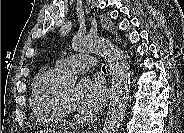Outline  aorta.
Masks as SVG:
<instances>
[{
  "instance_id": "762f6f07",
  "label": "aorta",
  "mask_w": 184,
  "mask_h": 133,
  "mask_svg": "<svg viewBox=\"0 0 184 133\" xmlns=\"http://www.w3.org/2000/svg\"><path fill=\"white\" fill-rule=\"evenodd\" d=\"M72 47L77 52H97L108 63L112 76V95L102 133H117L125 115L130 90V66L123 51L112 42L88 36H75ZM67 86H73L72 75L63 78Z\"/></svg>"
}]
</instances>
